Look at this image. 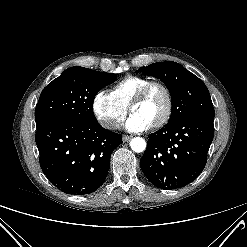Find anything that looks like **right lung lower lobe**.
Returning <instances> with one entry per match:
<instances>
[{
  "mask_svg": "<svg viewBox=\"0 0 247 247\" xmlns=\"http://www.w3.org/2000/svg\"><path fill=\"white\" fill-rule=\"evenodd\" d=\"M35 141L50 182L65 193L86 195L105 181L122 136L97 120L59 119L37 126Z\"/></svg>",
  "mask_w": 247,
  "mask_h": 247,
  "instance_id": "right-lung-lower-lobe-1",
  "label": "right lung lower lobe"
}]
</instances>
